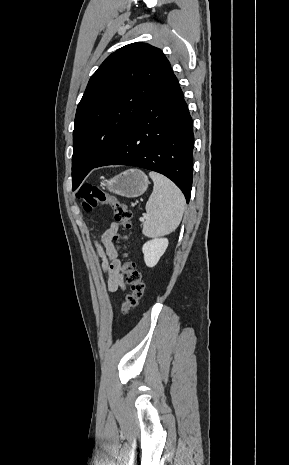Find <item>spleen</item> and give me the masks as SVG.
Wrapping results in <instances>:
<instances>
[{
  "label": "spleen",
  "mask_w": 289,
  "mask_h": 465,
  "mask_svg": "<svg viewBox=\"0 0 289 465\" xmlns=\"http://www.w3.org/2000/svg\"><path fill=\"white\" fill-rule=\"evenodd\" d=\"M154 182L153 192L146 203L142 233L147 237L170 234L179 226L185 206L181 190L167 177L150 172Z\"/></svg>",
  "instance_id": "spleen-1"
}]
</instances>
